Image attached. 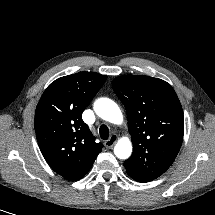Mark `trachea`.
Segmentation results:
<instances>
[{
  "label": "trachea",
  "instance_id": "trachea-1",
  "mask_svg": "<svg viewBox=\"0 0 215 215\" xmlns=\"http://www.w3.org/2000/svg\"><path fill=\"white\" fill-rule=\"evenodd\" d=\"M100 137L103 140H107L109 137V129L106 125H101L99 128Z\"/></svg>",
  "mask_w": 215,
  "mask_h": 215
}]
</instances>
